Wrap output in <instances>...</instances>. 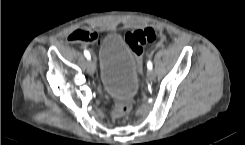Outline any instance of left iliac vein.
<instances>
[{"label":"left iliac vein","mask_w":245,"mask_h":145,"mask_svg":"<svg viewBox=\"0 0 245 145\" xmlns=\"http://www.w3.org/2000/svg\"><path fill=\"white\" fill-rule=\"evenodd\" d=\"M147 77L150 79V80H153L155 78V72L153 70H149L147 72Z\"/></svg>","instance_id":"obj_1"}]
</instances>
